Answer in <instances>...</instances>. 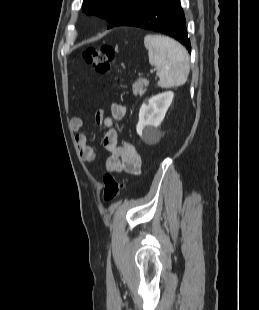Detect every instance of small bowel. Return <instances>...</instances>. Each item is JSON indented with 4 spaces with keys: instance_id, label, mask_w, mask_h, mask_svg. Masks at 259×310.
Masks as SVG:
<instances>
[{
    "instance_id": "obj_1",
    "label": "small bowel",
    "mask_w": 259,
    "mask_h": 310,
    "mask_svg": "<svg viewBox=\"0 0 259 310\" xmlns=\"http://www.w3.org/2000/svg\"><path fill=\"white\" fill-rule=\"evenodd\" d=\"M125 112L124 105L113 103L111 105V116L105 117L103 110H98L96 113V122L105 128L102 143L108 152V156L104 159V164L109 172L138 175L141 172L142 165L140 155L128 140L118 143L116 126L117 122L124 117ZM82 126L81 118L74 117L70 120V128L76 132L75 144L80 157L86 162H92L96 159V152L88 144L87 136L79 133Z\"/></svg>"
}]
</instances>
